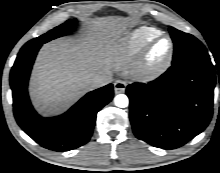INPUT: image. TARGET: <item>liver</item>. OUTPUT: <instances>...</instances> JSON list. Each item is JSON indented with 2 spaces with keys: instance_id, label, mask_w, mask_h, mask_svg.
Instances as JSON below:
<instances>
[{
  "instance_id": "1",
  "label": "liver",
  "mask_w": 220,
  "mask_h": 173,
  "mask_svg": "<svg viewBox=\"0 0 220 173\" xmlns=\"http://www.w3.org/2000/svg\"><path fill=\"white\" fill-rule=\"evenodd\" d=\"M127 26V18H98L88 22L86 35L80 39L60 38L44 44L29 86L34 106L40 112L57 113L93 90L91 79L110 70L114 44Z\"/></svg>"
}]
</instances>
